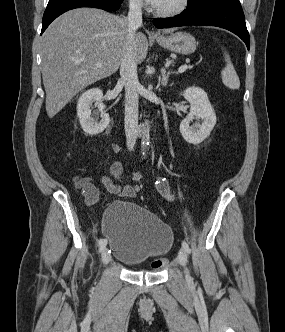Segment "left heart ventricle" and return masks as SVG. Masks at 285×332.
Masks as SVG:
<instances>
[{
  "label": "left heart ventricle",
  "mask_w": 285,
  "mask_h": 332,
  "mask_svg": "<svg viewBox=\"0 0 285 332\" xmlns=\"http://www.w3.org/2000/svg\"><path fill=\"white\" fill-rule=\"evenodd\" d=\"M180 0H164L163 4L159 7V9H171L175 7Z\"/></svg>",
  "instance_id": "1"
}]
</instances>
